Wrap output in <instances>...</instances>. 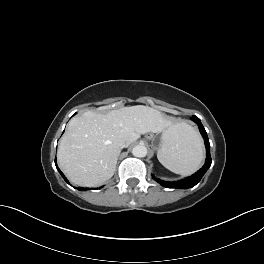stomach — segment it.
<instances>
[{
  "mask_svg": "<svg viewBox=\"0 0 264 264\" xmlns=\"http://www.w3.org/2000/svg\"><path fill=\"white\" fill-rule=\"evenodd\" d=\"M171 129H167L166 131H164L161 135V138H160V141L157 143V144H154V148L156 150H160L161 147L168 141L171 133H170ZM148 139L154 141L155 140V137L153 135H150L148 137Z\"/></svg>",
  "mask_w": 264,
  "mask_h": 264,
  "instance_id": "obj_1",
  "label": "stomach"
}]
</instances>
